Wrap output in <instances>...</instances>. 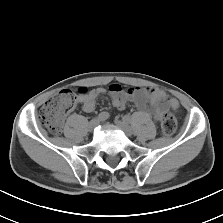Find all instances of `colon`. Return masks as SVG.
<instances>
[{
	"mask_svg": "<svg viewBox=\"0 0 223 223\" xmlns=\"http://www.w3.org/2000/svg\"><path fill=\"white\" fill-rule=\"evenodd\" d=\"M86 89L79 90L85 94ZM76 104V94L69 89H64L52 96L41 108L39 121L51 133L58 134L63 126L65 116L73 110ZM177 127L176 117L172 112H165L161 118V130L165 136H172Z\"/></svg>",
	"mask_w": 223,
	"mask_h": 223,
	"instance_id": "obj_1",
	"label": "colon"
}]
</instances>
